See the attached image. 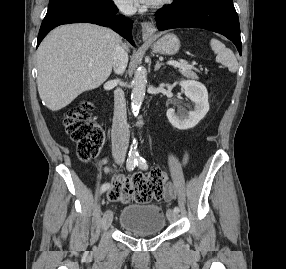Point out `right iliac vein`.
<instances>
[{
  "label": "right iliac vein",
  "instance_id": "right-iliac-vein-1",
  "mask_svg": "<svg viewBox=\"0 0 286 269\" xmlns=\"http://www.w3.org/2000/svg\"><path fill=\"white\" fill-rule=\"evenodd\" d=\"M113 221V212L111 210H106L102 218V226L104 229L108 228Z\"/></svg>",
  "mask_w": 286,
  "mask_h": 269
}]
</instances>
